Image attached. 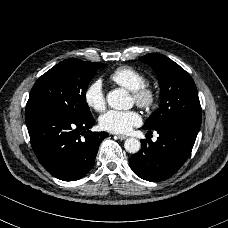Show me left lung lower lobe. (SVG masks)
I'll return each mask as SVG.
<instances>
[{
    "label": "left lung lower lobe",
    "mask_w": 228,
    "mask_h": 228,
    "mask_svg": "<svg viewBox=\"0 0 228 228\" xmlns=\"http://www.w3.org/2000/svg\"><path fill=\"white\" fill-rule=\"evenodd\" d=\"M200 127L172 122L156 128V142L141 140V150L129 158L140 178L158 182L174 175L189 157ZM146 130V129H145ZM148 133H152L150 130Z\"/></svg>",
    "instance_id": "1"
}]
</instances>
